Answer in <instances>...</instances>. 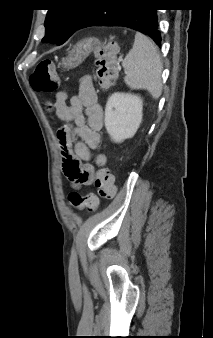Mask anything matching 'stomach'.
Instances as JSON below:
<instances>
[{
	"label": "stomach",
	"mask_w": 213,
	"mask_h": 338,
	"mask_svg": "<svg viewBox=\"0 0 213 338\" xmlns=\"http://www.w3.org/2000/svg\"><path fill=\"white\" fill-rule=\"evenodd\" d=\"M95 44L96 42L92 38L77 43L69 55L62 59V67L69 70L80 65L93 51Z\"/></svg>",
	"instance_id": "stomach-1"
}]
</instances>
